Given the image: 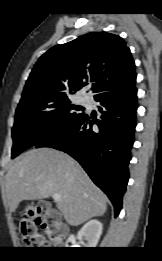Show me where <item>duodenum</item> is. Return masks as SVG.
<instances>
[{
  "instance_id": "obj_1",
  "label": "duodenum",
  "mask_w": 162,
  "mask_h": 261,
  "mask_svg": "<svg viewBox=\"0 0 162 261\" xmlns=\"http://www.w3.org/2000/svg\"><path fill=\"white\" fill-rule=\"evenodd\" d=\"M63 236H68V234L65 231H63Z\"/></svg>"
}]
</instances>
